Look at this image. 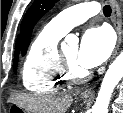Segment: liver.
Returning <instances> with one entry per match:
<instances>
[{"instance_id":"1","label":"liver","mask_w":123,"mask_h":113,"mask_svg":"<svg viewBox=\"0 0 123 113\" xmlns=\"http://www.w3.org/2000/svg\"><path fill=\"white\" fill-rule=\"evenodd\" d=\"M11 102L32 113H66L73 102L69 93L59 95H17Z\"/></svg>"}]
</instances>
